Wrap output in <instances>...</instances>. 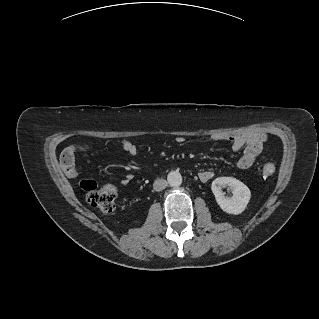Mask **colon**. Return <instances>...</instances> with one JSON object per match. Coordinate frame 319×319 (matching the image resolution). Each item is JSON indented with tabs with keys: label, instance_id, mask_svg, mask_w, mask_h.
<instances>
[{
	"label": "colon",
	"instance_id": "5ec220e1",
	"mask_svg": "<svg viewBox=\"0 0 319 319\" xmlns=\"http://www.w3.org/2000/svg\"><path fill=\"white\" fill-rule=\"evenodd\" d=\"M275 171L272 163H266L262 167L265 177L271 176ZM81 188L87 192V201L90 206L98 209L103 214L112 213L115 210L117 190L112 185L99 187L94 180L84 179L80 182Z\"/></svg>",
	"mask_w": 319,
	"mask_h": 319
}]
</instances>
